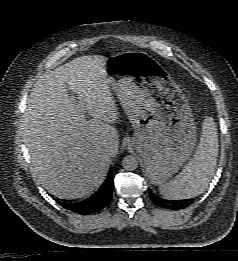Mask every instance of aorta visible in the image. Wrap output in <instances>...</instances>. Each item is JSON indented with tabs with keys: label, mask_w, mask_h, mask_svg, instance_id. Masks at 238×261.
Segmentation results:
<instances>
[{
	"label": "aorta",
	"mask_w": 238,
	"mask_h": 261,
	"mask_svg": "<svg viewBox=\"0 0 238 261\" xmlns=\"http://www.w3.org/2000/svg\"><path fill=\"white\" fill-rule=\"evenodd\" d=\"M122 166L127 171H134L138 167V160L133 155H127L122 160Z\"/></svg>",
	"instance_id": "762f6f07"
}]
</instances>
